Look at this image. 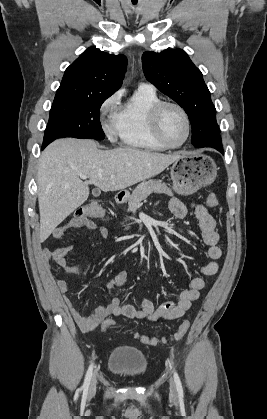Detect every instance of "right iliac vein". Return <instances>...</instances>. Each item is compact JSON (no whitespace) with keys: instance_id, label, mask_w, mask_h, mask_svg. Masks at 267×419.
Here are the masks:
<instances>
[{"instance_id":"63e3f726","label":"right iliac vein","mask_w":267,"mask_h":419,"mask_svg":"<svg viewBox=\"0 0 267 419\" xmlns=\"http://www.w3.org/2000/svg\"><path fill=\"white\" fill-rule=\"evenodd\" d=\"M96 383H97L96 377L94 376L92 378V380H91V383H90L89 395H92L95 392V390H96Z\"/></svg>"}]
</instances>
